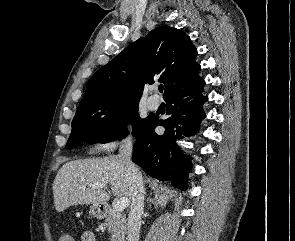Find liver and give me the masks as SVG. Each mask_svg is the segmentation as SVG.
<instances>
[{
  "mask_svg": "<svg viewBox=\"0 0 295 241\" xmlns=\"http://www.w3.org/2000/svg\"><path fill=\"white\" fill-rule=\"evenodd\" d=\"M96 184H111L113 194L120 198L132 194L127 167L118 156L74 160L59 169L53 182L56 211L79 204H106L110 193Z\"/></svg>",
  "mask_w": 295,
  "mask_h": 241,
  "instance_id": "obj_1",
  "label": "liver"
}]
</instances>
